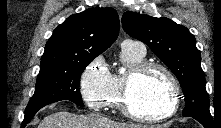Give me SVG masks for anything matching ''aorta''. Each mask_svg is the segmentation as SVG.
I'll return each instance as SVG.
<instances>
[{
	"label": "aorta",
	"instance_id": "aorta-1",
	"mask_svg": "<svg viewBox=\"0 0 221 128\" xmlns=\"http://www.w3.org/2000/svg\"><path fill=\"white\" fill-rule=\"evenodd\" d=\"M123 72H124V69H121V70H120V73H123Z\"/></svg>",
	"mask_w": 221,
	"mask_h": 128
}]
</instances>
